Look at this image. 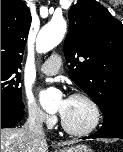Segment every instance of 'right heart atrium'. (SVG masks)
<instances>
[{
	"label": "right heart atrium",
	"mask_w": 123,
	"mask_h": 152,
	"mask_svg": "<svg viewBox=\"0 0 123 152\" xmlns=\"http://www.w3.org/2000/svg\"><path fill=\"white\" fill-rule=\"evenodd\" d=\"M25 111L28 118L42 125H51L55 118L45 112L33 99L27 97L24 101Z\"/></svg>",
	"instance_id": "1"
}]
</instances>
